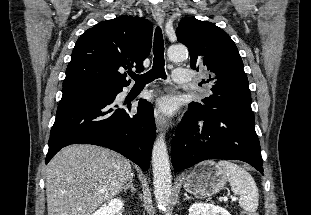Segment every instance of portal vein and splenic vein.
I'll return each mask as SVG.
<instances>
[{
	"label": "portal vein and splenic vein",
	"mask_w": 311,
	"mask_h": 215,
	"mask_svg": "<svg viewBox=\"0 0 311 215\" xmlns=\"http://www.w3.org/2000/svg\"><path fill=\"white\" fill-rule=\"evenodd\" d=\"M236 199H237L236 197H232V201H235ZM222 200L227 201L228 199H227V197H223Z\"/></svg>",
	"instance_id": "18ae733b"
}]
</instances>
